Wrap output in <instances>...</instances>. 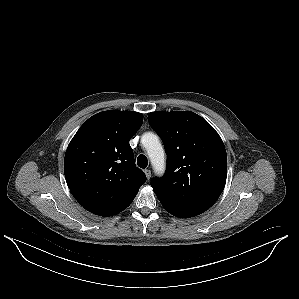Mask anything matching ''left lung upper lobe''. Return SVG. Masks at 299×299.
<instances>
[{"label": "left lung upper lobe", "instance_id": "left-lung-upper-lobe-1", "mask_svg": "<svg viewBox=\"0 0 299 299\" xmlns=\"http://www.w3.org/2000/svg\"><path fill=\"white\" fill-rule=\"evenodd\" d=\"M148 121L167 154L165 175L151 180L157 197L176 205L211 207L227 178V155L219 134L189 111L152 112Z\"/></svg>", "mask_w": 299, "mask_h": 299}]
</instances>
